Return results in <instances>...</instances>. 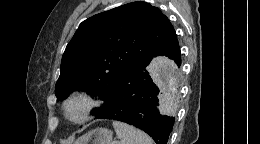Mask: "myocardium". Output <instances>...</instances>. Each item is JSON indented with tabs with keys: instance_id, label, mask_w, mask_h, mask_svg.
I'll use <instances>...</instances> for the list:
<instances>
[{
	"instance_id": "1",
	"label": "myocardium",
	"mask_w": 260,
	"mask_h": 144,
	"mask_svg": "<svg viewBox=\"0 0 260 144\" xmlns=\"http://www.w3.org/2000/svg\"><path fill=\"white\" fill-rule=\"evenodd\" d=\"M79 101L83 104L80 117L72 118L69 114L71 103ZM97 106L95 98L87 90L81 89L71 93L63 102L64 117L73 124H82L88 121Z\"/></svg>"
}]
</instances>
